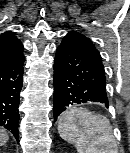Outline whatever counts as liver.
Listing matches in <instances>:
<instances>
[{"mask_svg": "<svg viewBox=\"0 0 130 153\" xmlns=\"http://www.w3.org/2000/svg\"><path fill=\"white\" fill-rule=\"evenodd\" d=\"M9 139L7 132L3 129H0V146L4 145Z\"/></svg>", "mask_w": 130, "mask_h": 153, "instance_id": "obj_1", "label": "liver"}]
</instances>
